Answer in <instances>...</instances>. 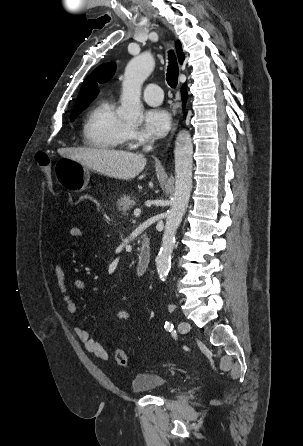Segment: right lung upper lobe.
Returning <instances> with one entry per match:
<instances>
[{
  "label": "right lung upper lobe",
  "instance_id": "1",
  "mask_svg": "<svg viewBox=\"0 0 303 446\" xmlns=\"http://www.w3.org/2000/svg\"><path fill=\"white\" fill-rule=\"evenodd\" d=\"M178 51V58L180 63L184 60V55L181 50V44L180 42L176 45ZM116 70V66L114 63H107L102 64L99 67H97L90 75V77H87L81 87L80 93L76 99V104L74 108L86 105L88 103H91L95 97L98 94L97 86L99 83H105L108 80H110Z\"/></svg>",
  "mask_w": 303,
  "mask_h": 446
}]
</instances>
